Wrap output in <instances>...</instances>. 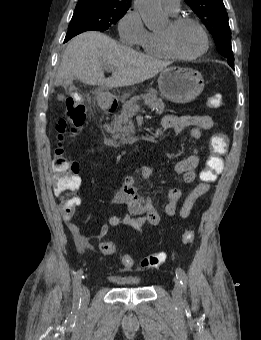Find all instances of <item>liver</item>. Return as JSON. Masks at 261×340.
Here are the masks:
<instances>
[{
    "label": "liver",
    "mask_w": 261,
    "mask_h": 340,
    "mask_svg": "<svg viewBox=\"0 0 261 340\" xmlns=\"http://www.w3.org/2000/svg\"><path fill=\"white\" fill-rule=\"evenodd\" d=\"M169 64L119 45L105 34L88 31L67 45L54 84L77 78L83 84L110 89L131 86L153 78ZM106 68L113 69L109 78L104 75Z\"/></svg>",
    "instance_id": "6515ba94"
}]
</instances>
